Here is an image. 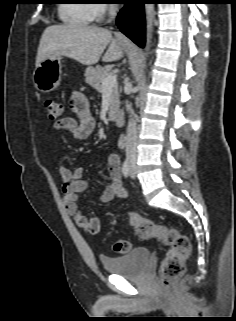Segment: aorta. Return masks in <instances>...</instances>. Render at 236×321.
Returning a JSON list of instances; mask_svg holds the SVG:
<instances>
[{"label":"aorta","mask_w":236,"mask_h":321,"mask_svg":"<svg viewBox=\"0 0 236 321\" xmlns=\"http://www.w3.org/2000/svg\"><path fill=\"white\" fill-rule=\"evenodd\" d=\"M145 14H146V55H148L150 47H151V39L153 32V16H154V5L147 4L145 6Z\"/></svg>","instance_id":"obj_1"}]
</instances>
